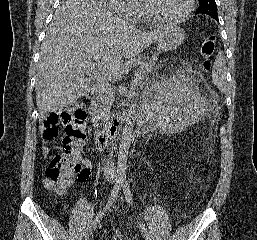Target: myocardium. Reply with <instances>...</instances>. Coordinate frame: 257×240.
Segmentation results:
<instances>
[{
  "label": "myocardium",
  "instance_id": "myocardium-1",
  "mask_svg": "<svg viewBox=\"0 0 257 240\" xmlns=\"http://www.w3.org/2000/svg\"><path fill=\"white\" fill-rule=\"evenodd\" d=\"M145 1V8L147 11L148 16L150 19L159 24H178L186 20L190 14L192 13L194 9V0H187V6L185 10L178 16L176 17H171V18H166L158 15L151 4V0H144Z\"/></svg>",
  "mask_w": 257,
  "mask_h": 240
}]
</instances>
